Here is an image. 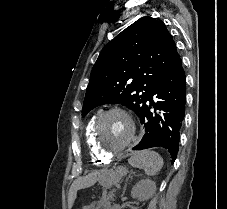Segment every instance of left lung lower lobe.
<instances>
[{"mask_svg": "<svg viewBox=\"0 0 227 209\" xmlns=\"http://www.w3.org/2000/svg\"><path fill=\"white\" fill-rule=\"evenodd\" d=\"M186 79L179 60L163 76L152 98L139 116L145 125V135L133 150L161 146L168 150L174 162L179 148V130L185 116ZM162 112L152 113L151 108Z\"/></svg>", "mask_w": 227, "mask_h": 209, "instance_id": "obj_1", "label": "left lung lower lobe"}]
</instances>
